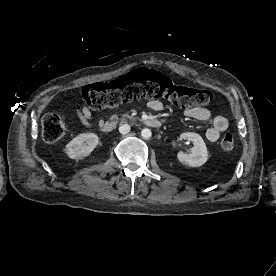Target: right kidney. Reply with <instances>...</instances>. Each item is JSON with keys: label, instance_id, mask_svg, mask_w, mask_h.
Segmentation results:
<instances>
[{"label": "right kidney", "instance_id": "obj_1", "mask_svg": "<svg viewBox=\"0 0 276 276\" xmlns=\"http://www.w3.org/2000/svg\"><path fill=\"white\" fill-rule=\"evenodd\" d=\"M99 138L94 133H83L73 138L65 147V153L72 159H83L97 146Z\"/></svg>", "mask_w": 276, "mask_h": 276}]
</instances>
